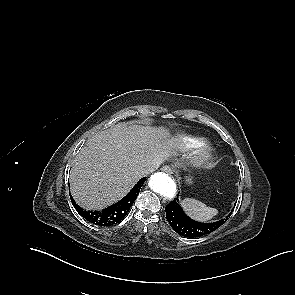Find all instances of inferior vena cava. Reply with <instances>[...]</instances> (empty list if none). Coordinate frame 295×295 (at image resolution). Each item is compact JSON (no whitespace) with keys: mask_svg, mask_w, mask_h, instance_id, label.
<instances>
[{"mask_svg":"<svg viewBox=\"0 0 295 295\" xmlns=\"http://www.w3.org/2000/svg\"><path fill=\"white\" fill-rule=\"evenodd\" d=\"M156 166H150L141 170L142 175L152 173L155 170Z\"/></svg>","mask_w":295,"mask_h":295,"instance_id":"obj_1","label":"inferior vena cava"}]
</instances>
